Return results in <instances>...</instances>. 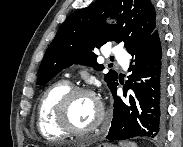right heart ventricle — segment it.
I'll list each match as a JSON object with an SVG mask.
<instances>
[{"label":"right heart ventricle","instance_id":"obj_1","mask_svg":"<svg viewBox=\"0 0 183 147\" xmlns=\"http://www.w3.org/2000/svg\"><path fill=\"white\" fill-rule=\"evenodd\" d=\"M70 89L66 81L49 86L43 93L37 107V127L43 137L50 140L64 138L67 133L55 121V108L60 98Z\"/></svg>","mask_w":183,"mask_h":147}]
</instances>
